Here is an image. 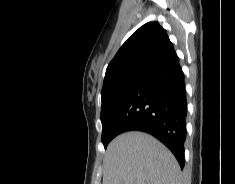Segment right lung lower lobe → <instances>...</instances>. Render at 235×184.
<instances>
[{
	"instance_id": "right-lung-lower-lobe-1",
	"label": "right lung lower lobe",
	"mask_w": 235,
	"mask_h": 184,
	"mask_svg": "<svg viewBox=\"0 0 235 184\" xmlns=\"http://www.w3.org/2000/svg\"><path fill=\"white\" fill-rule=\"evenodd\" d=\"M187 101L184 74L176 52L135 87L115 118L111 131L149 133L166 145L184 167Z\"/></svg>"
}]
</instances>
